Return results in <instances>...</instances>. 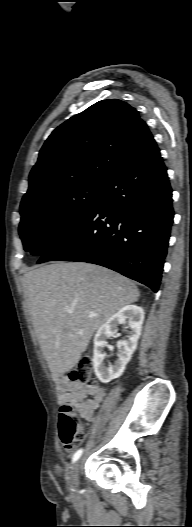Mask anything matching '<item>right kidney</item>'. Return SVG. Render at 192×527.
Returning <instances> with one entry per match:
<instances>
[{"instance_id":"ca27d5eb","label":"right kidney","mask_w":192,"mask_h":527,"mask_svg":"<svg viewBox=\"0 0 192 527\" xmlns=\"http://www.w3.org/2000/svg\"><path fill=\"white\" fill-rule=\"evenodd\" d=\"M126 320H128V325L131 329L128 339L120 340L117 343V347L119 348L118 358L113 365L110 363L106 365L104 362V347L108 345L106 340L116 333L118 326ZM143 320L144 310L141 307L127 305L108 319L96 332L92 361L94 372L102 383H108L120 377L124 372L126 365L137 348Z\"/></svg>"}]
</instances>
